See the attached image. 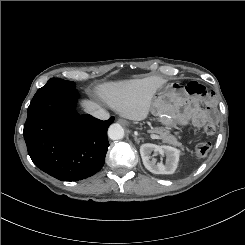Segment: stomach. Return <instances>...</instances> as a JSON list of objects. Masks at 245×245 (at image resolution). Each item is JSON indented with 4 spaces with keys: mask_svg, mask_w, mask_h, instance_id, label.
<instances>
[{
    "mask_svg": "<svg viewBox=\"0 0 245 245\" xmlns=\"http://www.w3.org/2000/svg\"><path fill=\"white\" fill-rule=\"evenodd\" d=\"M151 112L167 128L186 125L192 116L186 90L177 83L165 82L153 97Z\"/></svg>",
    "mask_w": 245,
    "mask_h": 245,
    "instance_id": "stomach-1",
    "label": "stomach"
}]
</instances>
